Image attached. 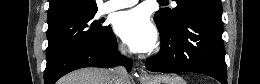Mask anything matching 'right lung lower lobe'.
Wrapping results in <instances>:
<instances>
[{"label": "right lung lower lobe", "mask_w": 260, "mask_h": 84, "mask_svg": "<svg viewBox=\"0 0 260 84\" xmlns=\"http://www.w3.org/2000/svg\"><path fill=\"white\" fill-rule=\"evenodd\" d=\"M118 45L114 33L106 46L82 45L64 53L55 63L46 67L44 83L54 84L63 75L83 67H114L125 64L131 70V60L122 57L117 51Z\"/></svg>", "instance_id": "1"}]
</instances>
